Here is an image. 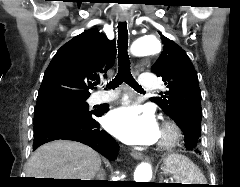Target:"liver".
I'll list each match as a JSON object with an SVG mask.
<instances>
[{
	"label": "liver",
	"instance_id": "1",
	"mask_svg": "<svg viewBox=\"0 0 240 187\" xmlns=\"http://www.w3.org/2000/svg\"><path fill=\"white\" fill-rule=\"evenodd\" d=\"M101 158L79 142L56 140L40 146L27 163V178L93 180Z\"/></svg>",
	"mask_w": 240,
	"mask_h": 187
}]
</instances>
